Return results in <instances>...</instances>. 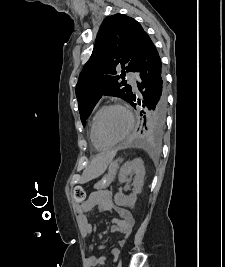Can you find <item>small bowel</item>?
Here are the masks:
<instances>
[{
	"mask_svg": "<svg viewBox=\"0 0 225 267\" xmlns=\"http://www.w3.org/2000/svg\"><path fill=\"white\" fill-rule=\"evenodd\" d=\"M94 209L100 211H112L118 214L119 218L113 219L112 232L120 233L122 237L118 241L119 246L125 244L126 238L131 234L134 227V218L132 213L122 207L115 206L112 202V195L109 191L99 190L93 192L87 201L80 207H77V217L81 224L82 231L85 236L89 237L92 232V227L88 222L86 213ZM106 244H102L99 248H105ZM120 253V249L115 247L110 251L113 259H116ZM106 262L105 257L91 256L87 259V267L102 266Z\"/></svg>",
	"mask_w": 225,
	"mask_h": 267,
	"instance_id": "1",
	"label": "small bowel"
}]
</instances>
